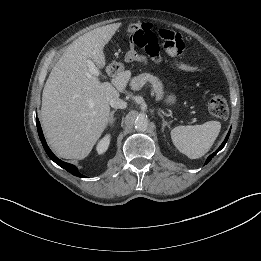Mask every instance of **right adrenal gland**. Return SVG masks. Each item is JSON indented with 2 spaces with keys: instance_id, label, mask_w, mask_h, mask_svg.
I'll return each mask as SVG.
<instances>
[{
  "instance_id": "1",
  "label": "right adrenal gland",
  "mask_w": 261,
  "mask_h": 261,
  "mask_svg": "<svg viewBox=\"0 0 261 261\" xmlns=\"http://www.w3.org/2000/svg\"><path fill=\"white\" fill-rule=\"evenodd\" d=\"M117 110H113L111 113H110V116H109V122H108V125L111 127V129L113 128L114 126V122H115V118H114V114Z\"/></svg>"
}]
</instances>
